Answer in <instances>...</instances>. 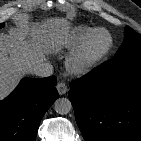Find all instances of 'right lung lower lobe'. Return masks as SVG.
I'll return each instance as SVG.
<instances>
[{
  "instance_id": "right-lung-lower-lobe-1",
  "label": "right lung lower lobe",
  "mask_w": 141,
  "mask_h": 141,
  "mask_svg": "<svg viewBox=\"0 0 141 141\" xmlns=\"http://www.w3.org/2000/svg\"><path fill=\"white\" fill-rule=\"evenodd\" d=\"M56 77L24 78L0 102V141H35L40 121L58 97Z\"/></svg>"
}]
</instances>
